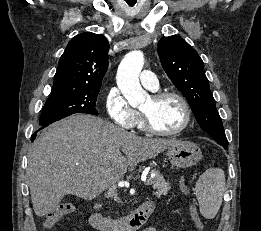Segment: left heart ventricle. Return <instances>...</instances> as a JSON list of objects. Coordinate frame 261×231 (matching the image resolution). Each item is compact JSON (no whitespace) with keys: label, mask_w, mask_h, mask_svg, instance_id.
I'll use <instances>...</instances> for the list:
<instances>
[{"label":"left heart ventricle","mask_w":261,"mask_h":231,"mask_svg":"<svg viewBox=\"0 0 261 231\" xmlns=\"http://www.w3.org/2000/svg\"><path fill=\"white\" fill-rule=\"evenodd\" d=\"M147 112L154 125L162 131H173L179 128L184 120V112L180 102L173 97L154 102L151 97L141 106Z\"/></svg>","instance_id":"b2bd125f"}]
</instances>
